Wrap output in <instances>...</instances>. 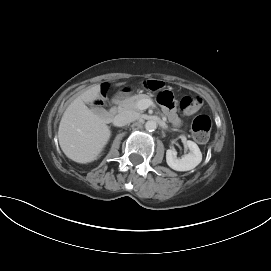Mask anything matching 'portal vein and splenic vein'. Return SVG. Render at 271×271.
Segmentation results:
<instances>
[{
    "label": "portal vein and splenic vein",
    "instance_id": "1",
    "mask_svg": "<svg viewBox=\"0 0 271 271\" xmlns=\"http://www.w3.org/2000/svg\"><path fill=\"white\" fill-rule=\"evenodd\" d=\"M153 104L151 100H141L138 102L137 106L140 110H145Z\"/></svg>",
    "mask_w": 271,
    "mask_h": 271
}]
</instances>
